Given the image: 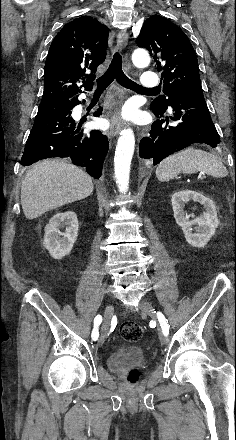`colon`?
Segmentation results:
<instances>
[{"instance_id":"1","label":"colon","mask_w":236,"mask_h":440,"mask_svg":"<svg viewBox=\"0 0 236 440\" xmlns=\"http://www.w3.org/2000/svg\"><path fill=\"white\" fill-rule=\"evenodd\" d=\"M143 334V328L135 322H125L121 326L122 337L129 342L138 341ZM140 378V372L136 369L131 370L127 376V381L130 385H134Z\"/></svg>"}]
</instances>
